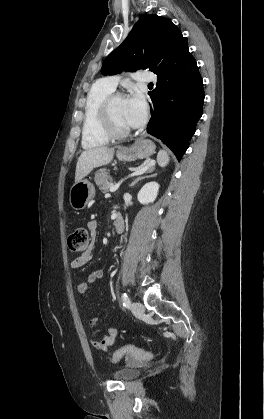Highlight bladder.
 Listing matches in <instances>:
<instances>
[{
  "label": "bladder",
  "instance_id": "31cf9c89",
  "mask_svg": "<svg viewBox=\"0 0 264 419\" xmlns=\"http://www.w3.org/2000/svg\"><path fill=\"white\" fill-rule=\"evenodd\" d=\"M141 374V370L133 365L121 368L113 373V377L120 381H130L136 379Z\"/></svg>",
  "mask_w": 264,
  "mask_h": 419
}]
</instances>
